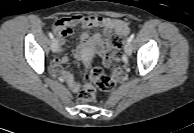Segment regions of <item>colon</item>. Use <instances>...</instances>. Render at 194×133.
I'll list each match as a JSON object with an SVG mask.
<instances>
[{"instance_id": "1", "label": "colon", "mask_w": 194, "mask_h": 133, "mask_svg": "<svg viewBox=\"0 0 194 133\" xmlns=\"http://www.w3.org/2000/svg\"><path fill=\"white\" fill-rule=\"evenodd\" d=\"M110 41L113 48L108 56L110 63H113L111 74L106 75L99 66L91 67L87 74V83L79 93V97L83 102H90L94 99L95 87L101 91H110L116 87L121 79L122 69L119 63L122 59L123 36L114 34Z\"/></svg>"}]
</instances>
